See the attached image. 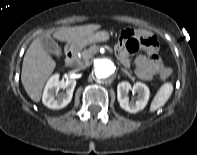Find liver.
Returning <instances> with one entry per match:
<instances>
[{
    "mask_svg": "<svg viewBox=\"0 0 197 155\" xmlns=\"http://www.w3.org/2000/svg\"><path fill=\"white\" fill-rule=\"evenodd\" d=\"M100 25H83L76 27H61L54 31L53 36L63 42L72 44L92 34ZM47 33L36 38L27 49L21 72V82L25 91L34 102H39L45 82L53 73L56 63L43 48L41 39L50 37Z\"/></svg>",
    "mask_w": 197,
    "mask_h": 155,
    "instance_id": "6515ba94",
    "label": "liver"
}]
</instances>
